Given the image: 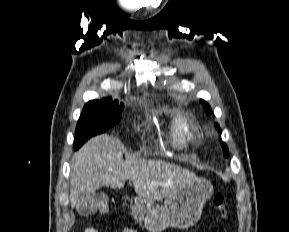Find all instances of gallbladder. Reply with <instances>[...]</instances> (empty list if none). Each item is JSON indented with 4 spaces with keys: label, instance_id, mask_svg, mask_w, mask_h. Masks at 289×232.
<instances>
[{
    "label": "gallbladder",
    "instance_id": "obj_1",
    "mask_svg": "<svg viewBox=\"0 0 289 232\" xmlns=\"http://www.w3.org/2000/svg\"><path fill=\"white\" fill-rule=\"evenodd\" d=\"M101 199L98 194L94 193L89 196L80 195L77 205V211L82 216H92L94 215L99 206Z\"/></svg>",
    "mask_w": 289,
    "mask_h": 232
}]
</instances>
